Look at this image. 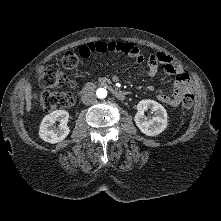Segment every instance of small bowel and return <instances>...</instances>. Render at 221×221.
<instances>
[{
	"mask_svg": "<svg viewBox=\"0 0 221 221\" xmlns=\"http://www.w3.org/2000/svg\"><path fill=\"white\" fill-rule=\"evenodd\" d=\"M94 53L126 54L138 65H144L143 70L150 77L156 76L159 64H163L166 74L174 77V91L171 95L159 93L158 100L169 106H177L185 98H192L193 87L188 75L173 58L163 52H155L145 57L135 44L125 41H92L79 47V55L82 58H88Z\"/></svg>",
	"mask_w": 221,
	"mask_h": 221,
	"instance_id": "c3829d8e",
	"label": "small bowel"
}]
</instances>
